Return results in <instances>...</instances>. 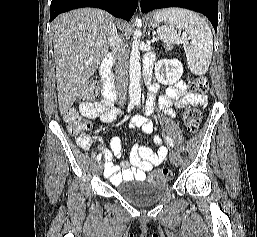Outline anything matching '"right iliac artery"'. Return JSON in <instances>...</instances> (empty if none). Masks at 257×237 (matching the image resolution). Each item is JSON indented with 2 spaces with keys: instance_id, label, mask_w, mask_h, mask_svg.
Listing matches in <instances>:
<instances>
[{
  "instance_id": "1",
  "label": "right iliac artery",
  "mask_w": 257,
  "mask_h": 237,
  "mask_svg": "<svg viewBox=\"0 0 257 237\" xmlns=\"http://www.w3.org/2000/svg\"><path fill=\"white\" fill-rule=\"evenodd\" d=\"M133 107H134V103L132 102V103H130L129 106H128V112L131 111ZM101 157H102V154L100 153V154L97 156L96 160H97V161H100V160H101Z\"/></svg>"
}]
</instances>
